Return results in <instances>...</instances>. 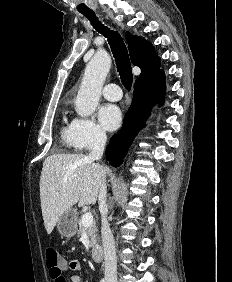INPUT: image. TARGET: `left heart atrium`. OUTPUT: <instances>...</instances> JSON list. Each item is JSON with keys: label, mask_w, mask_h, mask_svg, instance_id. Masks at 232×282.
Masks as SVG:
<instances>
[{"label": "left heart atrium", "mask_w": 232, "mask_h": 282, "mask_svg": "<svg viewBox=\"0 0 232 282\" xmlns=\"http://www.w3.org/2000/svg\"><path fill=\"white\" fill-rule=\"evenodd\" d=\"M98 119L103 128L112 131L121 123V112L116 105L105 104L99 109Z\"/></svg>", "instance_id": "obj_1"}]
</instances>
